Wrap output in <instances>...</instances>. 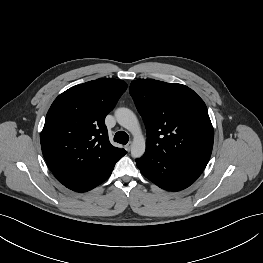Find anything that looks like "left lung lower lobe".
<instances>
[{"instance_id": "left-lung-lower-lobe-1", "label": "left lung lower lobe", "mask_w": 263, "mask_h": 263, "mask_svg": "<svg viewBox=\"0 0 263 263\" xmlns=\"http://www.w3.org/2000/svg\"><path fill=\"white\" fill-rule=\"evenodd\" d=\"M136 164L146 178L168 191L189 187L203 172V168L171 156L144 154Z\"/></svg>"}]
</instances>
